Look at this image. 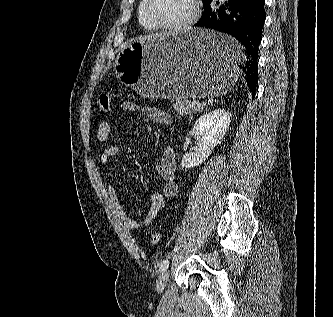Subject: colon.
I'll return each mask as SVG.
<instances>
[{
  "instance_id": "obj_1",
  "label": "colon",
  "mask_w": 333,
  "mask_h": 317,
  "mask_svg": "<svg viewBox=\"0 0 333 317\" xmlns=\"http://www.w3.org/2000/svg\"><path fill=\"white\" fill-rule=\"evenodd\" d=\"M111 110V96L109 94H101L97 102V112L99 115L104 116ZM160 235L157 232H153L150 235V242L152 244H158Z\"/></svg>"
}]
</instances>
